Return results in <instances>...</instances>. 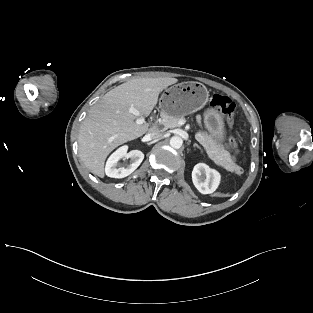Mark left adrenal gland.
I'll return each instance as SVG.
<instances>
[{
  "mask_svg": "<svg viewBox=\"0 0 313 313\" xmlns=\"http://www.w3.org/2000/svg\"><path fill=\"white\" fill-rule=\"evenodd\" d=\"M193 147H196V148L200 149L198 144H193Z\"/></svg>",
  "mask_w": 313,
  "mask_h": 313,
  "instance_id": "left-adrenal-gland-1",
  "label": "left adrenal gland"
}]
</instances>
